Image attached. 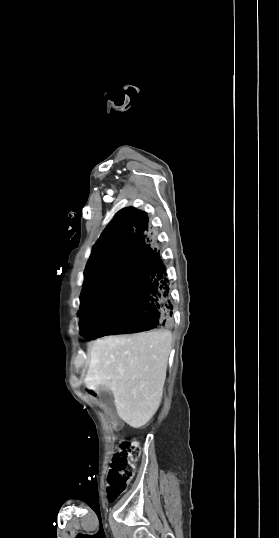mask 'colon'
<instances>
[{"label":"colon","instance_id":"5ec220e1","mask_svg":"<svg viewBox=\"0 0 279 538\" xmlns=\"http://www.w3.org/2000/svg\"><path fill=\"white\" fill-rule=\"evenodd\" d=\"M139 455L138 441L124 440L119 443L107 477V496L110 501H114L125 491L133 477L135 462Z\"/></svg>","mask_w":279,"mask_h":538}]
</instances>
